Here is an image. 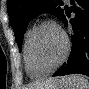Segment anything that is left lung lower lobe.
<instances>
[{
	"label": "left lung lower lobe",
	"mask_w": 89,
	"mask_h": 89,
	"mask_svg": "<svg viewBox=\"0 0 89 89\" xmlns=\"http://www.w3.org/2000/svg\"><path fill=\"white\" fill-rule=\"evenodd\" d=\"M70 2L72 4L70 11L75 13V17L70 20L73 26L72 50L67 63L63 64L53 76L73 73L89 76V0H70ZM62 21L67 25L65 14Z\"/></svg>",
	"instance_id": "left-lung-lower-lobe-1"
}]
</instances>
